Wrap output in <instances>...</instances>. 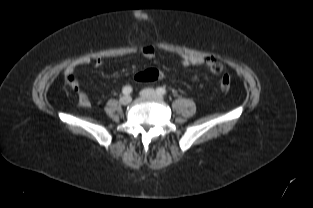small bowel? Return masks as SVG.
<instances>
[{"label": "small bowel", "instance_id": "obj_1", "mask_svg": "<svg viewBox=\"0 0 313 208\" xmlns=\"http://www.w3.org/2000/svg\"><path fill=\"white\" fill-rule=\"evenodd\" d=\"M141 54L148 59H151L155 57L156 50L153 46H144L141 49ZM217 60L213 56H189V55H183L181 57V62L184 66H191V65H199V64H204L207 65L209 68L213 63H215ZM93 62L95 66H101L104 63V58L103 57H97V58H91L90 56H81L71 62L67 69L66 73L72 74L74 69L79 66V65H84V64H89ZM77 92V101L79 106L83 108H89L91 106L90 100L88 99L87 95L83 92L78 90V86L76 85L73 87Z\"/></svg>", "mask_w": 313, "mask_h": 208}]
</instances>
